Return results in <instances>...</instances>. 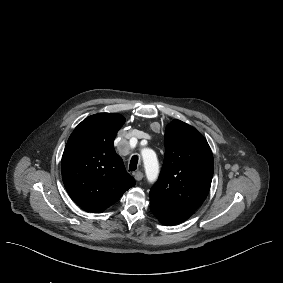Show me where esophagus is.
Returning a JSON list of instances; mask_svg holds the SVG:
<instances>
[{"label":"esophagus","instance_id":"esophagus-1","mask_svg":"<svg viewBox=\"0 0 283 283\" xmlns=\"http://www.w3.org/2000/svg\"><path fill=\"white\" fill-rule=\"evenodd\" d=\"M144 177L143 173L141 171H137L135 174H134V178L137 180V181H140L142 180V178Z\"/></svg>","mask_w":283,"mask_h":283}]
</instances>
